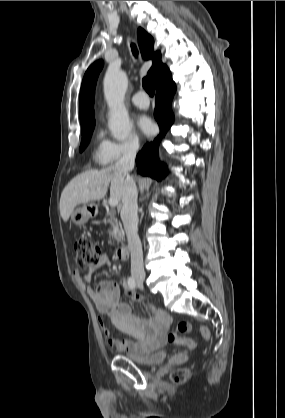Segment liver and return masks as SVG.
<instances>
[{
	"mask_svg": "<svg viewBox=\"0 0 285 418\" xmlns=\"http://www.w3.org/2000/svg\"><path fill=\"white\" fill-rule=\"evenodd\" d=\"M110 184V198L122 199L124 177L115 166L102 170H88L73 178L64 188L60 198V215L69 220L75 207L104 198Z\"/></svg>",
	"mask_w": 285,
	"mask_h": 418,
	"instance_id": "6515ba94",
	"label": "liver"
}]
</instances>
